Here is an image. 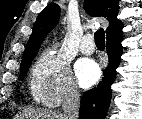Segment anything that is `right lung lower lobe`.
Masks as SVG:
<instances>
[{"label": "right lung lower lobe", "instance_id": "obj_1", "mask_svg": "<svg viewBox=\"0 0 142 119\" xmlns=\"http://www.w3.org/2000/svg\"><path fill=\"white\" fill-rule=\"evenodd\" d=\"M123 35L107 38L106 50L109 64L97 87L86 91L81 98L80 119H104L111 100V85L116 78V69L121 61Z\"/></svg>", "mask_w": 142, "mask_h": 119}]
</instances>
